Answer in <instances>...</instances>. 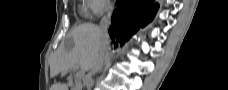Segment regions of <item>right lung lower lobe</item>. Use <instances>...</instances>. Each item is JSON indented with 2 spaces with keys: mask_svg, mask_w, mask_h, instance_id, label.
Listing matches in <instances>:
<instances>
[{
  "mask_svg": "<svg viewBox=\"0 0 228 90\" xmlns=\"http://www.w3.org/2000/svg\"><path fill=\"white\" fill-rule=\"evenodd\" d=\"M116 5L109 28L114 48L123 46L140 27L151 22L159 7L154 0H118Z\"/></svg>",
  "mask_w": 228,
  "mask_h": 90,
  "instance_id": "obj_1",
  "label": "right lung lower lobe"
}]
</instances>
